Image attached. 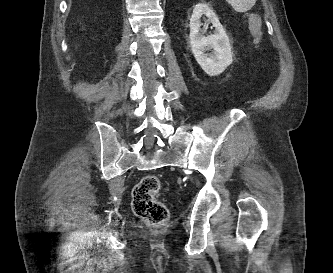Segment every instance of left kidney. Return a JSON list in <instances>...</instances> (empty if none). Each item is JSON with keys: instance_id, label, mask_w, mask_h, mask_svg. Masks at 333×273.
Instances as JSON below:
<instances>
[{"instance_id": "obj_1", "label": "left kidney", "mask_w": 333, "mask_h": 273, "mask_svg": "<svg viewBox=\"0 0 333 273\" xmlns=\"http://www.w3.org/2000/svg\"><path fill=\"white\" fill-rule=\"evenodd\" d=\"M205 15L215 27L214 34L205 36V28H201V17ZM190 46L191 51L200 67L210 76L221 74L232 61L230 40L219 22L216 14L206 3L195 5L190 18ZM212 50L211 53H206Z\"/></svg>"}]
</instances>
